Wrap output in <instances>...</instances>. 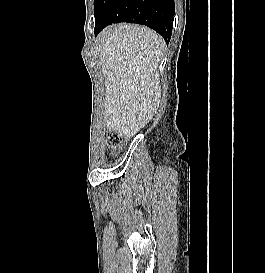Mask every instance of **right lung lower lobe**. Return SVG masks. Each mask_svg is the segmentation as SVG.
<instances>
[{"mask_svg":"<svg viewBox=\"0 0 265 273\" xmlns=\"http://www.w3.org/2000/svg\"><path fill=\"white\" fill-rule=\"evenodd\" d=\"M175 6L173 0H113L95 36L106 26L117 22L146 25L169 42L172 35Z\"/></svg>","mask_w":265,"mask_h":273,"instance_id":"1","label":"right lung lower lobe"}]
</instances>
